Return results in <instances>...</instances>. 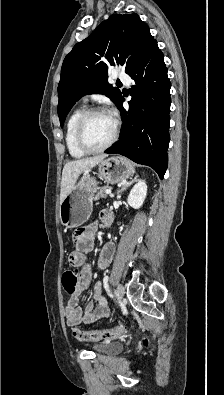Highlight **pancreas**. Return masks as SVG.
<instances>
[{
  "mask_svg": "<svg viewBox=\"0 0 224 395\" xmlns=\"http://www.w3.org/2000/svg\"><path fill=\"white\" fill-rule=\"evenodd\" d=\"M107 189H111L110 186H104L99 188L98 192L93 196L94 200H99L100 198H106L107 194H106V190Z\"/></svg>",
  "mask_w": 224,
  "mask_h": 395,
  "instance_id": "cf45deb5",
  "label": "pancreas"
}]
</instances>
